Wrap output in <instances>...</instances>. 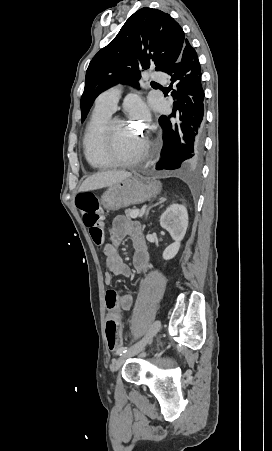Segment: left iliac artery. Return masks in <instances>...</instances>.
I'll return each mask as SVG.
<instances>
[{
  "label": "left iliac artery",
  "mask_w": 272,
  "mask_h": 451,
  "mask_svg": "<svg viewBox=\"0 0 272 451\" xmlns=\"http://www.w3.org/2000/svg\"><path fill=\"white\" fill-rule=\"evenodd\" d=\"M126 351H127V347H122L117 350V354L121 356L122 354L126 353Z\"/></svg>",
  "instance_id": "left-iliac-artery-1"
}]
</instances>
